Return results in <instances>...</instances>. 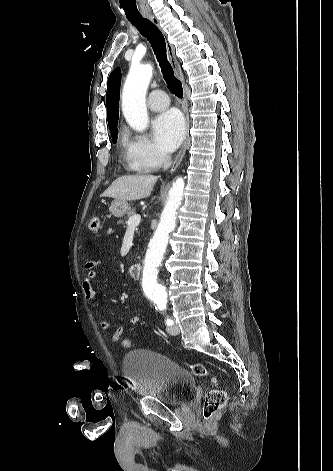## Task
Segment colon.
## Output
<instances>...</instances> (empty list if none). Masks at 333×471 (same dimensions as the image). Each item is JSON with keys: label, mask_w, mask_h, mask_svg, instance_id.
Returning a JSON list of instances; mask_svg holds the SVG:
<instances>
[{"label": "colon", "mask_w": 333, "mask_h": 471, "mask_svg": "<svg viewBox=\"0 0 333 471\" xmlns=\"http://www.w3.org/2000/svg\"><path fill=\"white\" fill-rule=\"evenodd\" d=\"M100 228V219L97 216L92 217L88 222V229L90 231H98ZM123 348H130L132 342L128 338H121L119 341ZM191 372L198 377H210L214 387L206 394L203 416L206 422H209L213 416L224 407L227 401V396L224 390L217 386V379L210 376V373L205 365L201 363L185 364Z\"/></svg>", "instance_id": "1"}]
</instances>
